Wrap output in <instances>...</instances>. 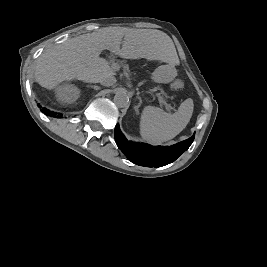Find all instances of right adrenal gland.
I'll return each instance as SVG.
<instances>
[{
    "label": "right adrenal gland",
    "mask_w": 267,
    "mask_h": 267,
    "mask_svg": "<svg viewBox=\"0 0 267 267\" xmlns=\"http://www.w3.org/2000/svg\"><path fill=\"white\" fill-rule=\"evenodd\" d=\"M87 87L94 88L95 90L101 89V87L96 86V85H87Z\"/></svg>",
    "instance_id": "1"
}]
</instances>
